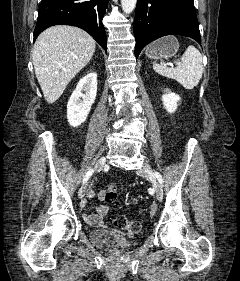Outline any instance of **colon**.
<instances>
[{"mask_svg":"<svg viewBox=\"0 0 240 281\" xmlns=\"http://www.w3.org/2000/svg\"><path fill=\"white\" fill-rule=\"evenodd\" d=\"M103 198L107 203H113L117 198V187L114 183H110L103 192ZM114 224L120 229L137 233L141 230V224L135 220H129L123 215L114 218Z\"/></svg>","mask_w":240,"mask_h":281,"instance_id":"1","label":"colon"}]
</instances>
